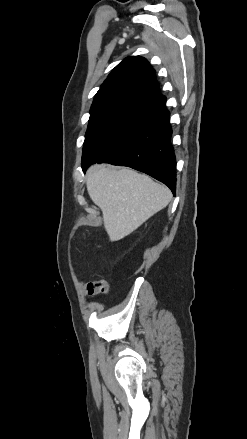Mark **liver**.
Masks as SVG:
<instances>
[{
  "instance_id": "obj_1",
  "label": "liver",
  "mask_w": 247,
  "mask_h": 439,
  "mask_svg": "<svg viewBox=\"0 0 247 439\" xmlns=\"http://www.w3.org/2000/svg\"><path fill=\"white\" fill-rule=\"evenodd\" d=\"M86 185L91 200L102 211L110 241L135 231L172 198L166 186L128 168L93 165L86 174Z\"/></svg>"
}]
</instances>
